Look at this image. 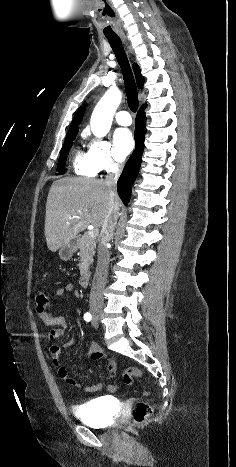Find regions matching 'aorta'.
Here are the masks:
<instances>
[{
    "instance_id": "1",
    "label": "aorta",
    "mask_w": 236,
    "mask_h": 467,
    "mask_svg": "<svg viewBox=\"0 0 236 467\" xmlns=\"http://www.w3.org/2000/svg\"><path fill=\"white\" fill-rule=\"evenodd\" d=\"M121 100L122 93L116 88H110L97 103L90 121L91 131L96 137L102 138L109 132Z\"/></svg>"
}]
</instances>
